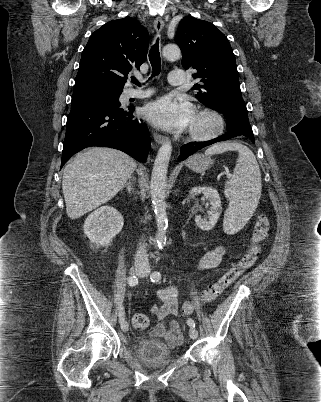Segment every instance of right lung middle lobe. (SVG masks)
<instances>
[{"instance_id": "dd1d6c3e", "label": "right lung middle lobe", "mask_w": 321, "mask_h": 402, "mask_svg": "<svg viewBox=\"0 0 321 402\" xmlns=\"http://www.w3.org/2000/svg\"><path fill=\"white\" fill-rule=\"evenodd\" d=\"M122 89L106 85L87 83L74 86L71 104L80 102H98L120 106L119 97Z\"/></svg>"}]
</instances>
